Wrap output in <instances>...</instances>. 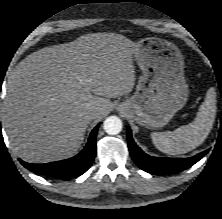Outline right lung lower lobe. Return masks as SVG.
<instances>
[{
    "mask_svg": "<svg viewBox=\"0 0 222 219\" xmlns=\"http://www.w3.org/2000/svg\"><path fill=\"white\" fill-rule=\"evenodd\" d=\"M96 126L88 139L85 148L76 156L57 162L45 164H30L19 159L21 164L28 170L46 175L56 179L75 178L85 173L93 163L96 155V135L98 131Z\"/></svg>",
    "mask_w": 222,
    "mask_h": 219,
    "instance_id": "1",
    "label": "right lung lower lobe"
}]
</instances>
